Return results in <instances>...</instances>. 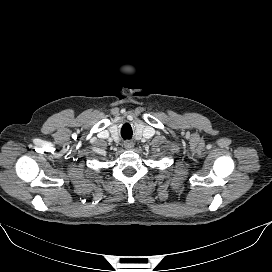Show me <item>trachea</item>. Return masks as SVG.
<instances>
[{
  "instance_id": "3493384b",
  "label": "trachea",
  "mask_w": 272,
  "mask_h": 272,
  "mask_svg": "<svg viewBox=\"0 0 272 272\" xmlns=\"http://www.w3.org/2000/svg\"><path fill=\"white\" fill-rule=\"evenodd\" d=\"M123 138H124V139H129L130 137H127V138H126V137H123Z\"/></svg>"
}]
</instances>
